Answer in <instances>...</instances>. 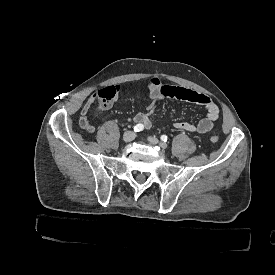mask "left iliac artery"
Segmentation results:
<instances>
[{"label": "left iliac artery", "mask_w": 275, "mask_h": 275, "mask_svg": "<svg viewBox=\"0 0 275 275\" xmlns=\"http://www.w3.org/2000/svg\"><path fill=\"white\" fill-rule=\"evenodd\" d=\"M167 138H168V137H167L166 135H162V136H161V140L164 141V142L167 141Z\"/></svg>", "instance_id": "obj_1"}]
</instances>
